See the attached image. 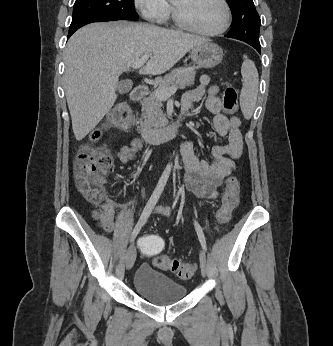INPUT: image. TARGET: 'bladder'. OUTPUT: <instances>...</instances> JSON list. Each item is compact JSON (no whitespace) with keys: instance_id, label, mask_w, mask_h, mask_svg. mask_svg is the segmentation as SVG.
Returning <instances> with one entry per match:
<instances>
[{"instance_id":"bladder-1","label":"bladder","mask_w":333,"mask_h":346,"mask_svg":"<svg viewBox=\"0 0 333 346\" xmlns=\"http://www.w3.org/2000/svg\"><path fill=\"white\" fill-rule=\"evenodd\" d=\"M133 287L143 299L155 305L179 302L187 293L185 285L158 272L148 263H143L138 267Z\"/></svg>"}]
</instances>
